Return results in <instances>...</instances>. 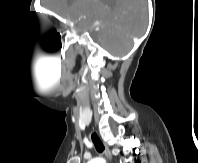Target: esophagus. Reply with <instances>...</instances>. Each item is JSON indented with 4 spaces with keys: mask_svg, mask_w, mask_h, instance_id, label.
<instances>
[{
    "mask_svg": "<svg viewBox=\"0 0 198 163\" xmlns=\"http://www.w3.org/2000/svg\"><path fill=\"white\" fill-rule=\"evenodd\" d=\"M104 146H105L104 154L107 159L111 160L112 158L111 151L106 144H104Z\"/></svg>",
    "mask_w": 198,
    "mask_h": 163,
    "instance_id": "esophagus-1",
    "label": "esophagus"
}]
</instances>
